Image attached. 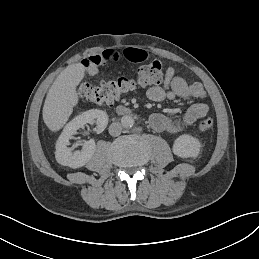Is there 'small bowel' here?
<instances>
[{
	"instance_id": "small-bowel-1",
	"label": "small bowel",
	"mask_w": 259,
	"mask_h": 259,
	"mask_svg": "<svg viewBox=\"0 0 259 259\" xmlns=\"http://www.w3.org/2000/svg\"><path fill=\"white\" fill-rule=\"evenodd\" d=\"M148 58V53L136 48H125L122 51L108 49L92 55L82 61V66L91 75L99 72V67L109 62L127 60L131 62H142ZM147 95L152 101H163L165 99H204L206 91L200 83H187L182 77L175 73L173 67H168L161 86H153L148 89ZM208 113V106L198 102L191 105L183 115L169 117L161 113H153L149 117L152 129L158 132L175 134L185 127L192 125L199 118Z\"/></svg>"
}]
</instances>
